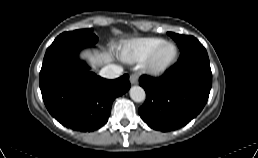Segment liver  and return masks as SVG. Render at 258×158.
Instances as JSON below:
<instances>
[{"label":"liver","instance_id":"liver-1","mask_svg":"<svg viewBox=\"0 0 258 158\" xmlns=\"http://www.w3.org/2000/svg\"><path fill=\"white\" fill-rule=\"evenodd\" d=\"M81 58L85 59L87 63L93 68H97L103 64H108L112 61V56L108 52H90L83 51Z\"/></svg>","mask_w":258,"mask_h":158}]
</instances>
